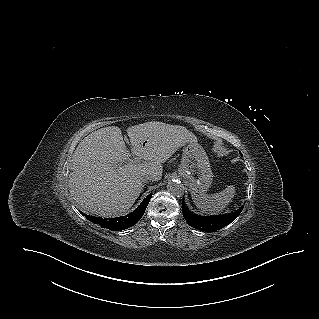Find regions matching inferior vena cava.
<instances>
[{"mask_svg": "<svg viewBox=\"0 0 319 319\" xmlns=\"http://www.w3.org/2000/svg\"><path fill=\"white\" fill-rule=\"evenodd\" d=\"M141 179H142L143 182H146L147 180H152L153 179V175L151 173L143 174L141 176Z\"/></svg>", "mask_w": 319, "mask_h": 319, "instance_id": "1", "label": "inferior vena cava"}]
</instances>
